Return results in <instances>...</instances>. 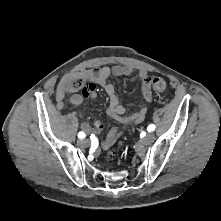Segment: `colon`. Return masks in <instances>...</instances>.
<instances>
[{"mask_svg": "<svg viewBox=\"0 0 221 221\" xmlns=\"http://www.w3.org/2000/svg\"><path fill=\"white\" fill-rule=\"evenodd\" d=\"M85 84L84 80L82 77H73L71 78L65 85V92H76V91H82L83 90V85ZM152 87L153 90L156 92H163L165 91L167 84L164 79L162 78H154L152 81ZM112 157V153L107 152L106 153V158L110 159Z\"/></svg>", "mask_w": 221, "mask_h": 221, "instance_id": "obj_1", "label": "colon"}]
</instances>
